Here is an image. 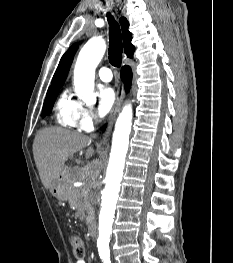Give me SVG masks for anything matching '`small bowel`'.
Here are the masks:
<instances>
[{"label": "small bowel", "mask_w": 233, "mask_h": 263, "mask_svg": "<svg viewBox=\"0 0 233 263\" xmlns=\"http://www.w3.org/2000/svg\"><path fill=\"white\" fill-rule=\"evenodd\" d=\"M76 263H87L86 260L81 259V260H77Z\"/></svg>", "instance_id": "c3829d8e"}]
</instances>
